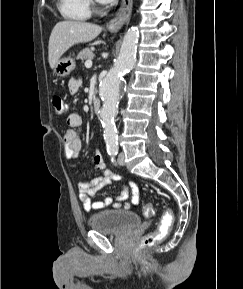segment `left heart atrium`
I'll use <instances>...</instances> for the list:
<instances>
[{"label": "left heart atrium", "mask_w": 243, "mask_h": 289, "mask_svg": "<svg viewBox=\"0 0 243 289\" xmlns=\"http://www.w3.org/2000/svg\"><path fill=\"white\" fill-rule=\"evenodd\" d=\"M103 4H108V3H112L114 0H98Z\"/></svg>", "instance_id": "left-heart-atrium-1"}]
</instances>
